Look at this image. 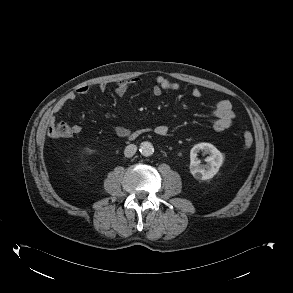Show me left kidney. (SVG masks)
Listing matches in <instances>:
<instances>
[{
	"label": "left kidney",
	"mask_w": 293,
	"mask_h": 293,
	"mask_svg": "<svg viewBox=\"0 0 293 293\" xmlns=\"http://www.w3.org/2000/svg\"><path fill=\"white\" fill-rule=\"evenodd\" d=\"M200 151L210 154L206 158V165H200V160L197 158ZM223 161V154L214 145L205 142L199 143L194 145L190 151V172L196 179L208 180L218 173Z\"/></svg>",
	"instance_id": "5707ae66"
}]
</instances>
